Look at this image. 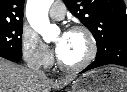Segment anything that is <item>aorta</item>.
<instances>
[{
    "label": "aorta",
    "mask_w": 127,
    "mask_h": 92,
    "mask_svg": "<svg viewBox=\"0 0 127 92\" xmlns=\"http://www.w3.org/2000/svg\"><path fill=\"white\" fill-rule=\"evenodd\" d=\"M53 0H28L26 5V16L31 27L39 33L44 41L51 40L58 28L50 24L48 11Z\"/></svg>",
    "instance_id": "762f6f07"
}]
</instances>
